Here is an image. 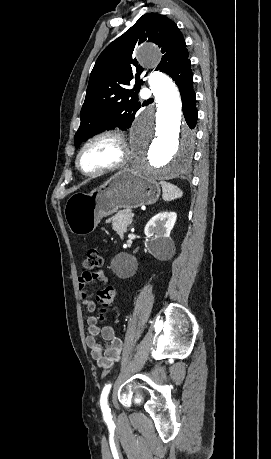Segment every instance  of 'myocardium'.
I'll list each match as a JSON object with an SVG mask.
<instances>
[{
	"instance_id": "1",
	"label": "myocardium",
	"mask_w": 271,
	"mask_h": 459,
	"mask_svg": "<svg viewBox=\"0 0 271 459\" xmlns=\"http://www.w3.org/2000/svg\"><path fill=\"white\" fill-rule=\"evenodd\" d=\"M102 136H112L117 140L119 144L118 157L114 161L108 164H105L95 170H92V171L83 170L80 165V158H81L82 153L84 152L87 145L91 141L99 137H102ZM129 153H130L129 142L125 134L117 127H105V128L99 129L98 131L92 133L91 135H89L83 140L75 156V166L82 175L86 177H92V176L101 174L103 172L115 170V169H118L124 166L129 159Z\"/></svg>"
}]
</instances>
